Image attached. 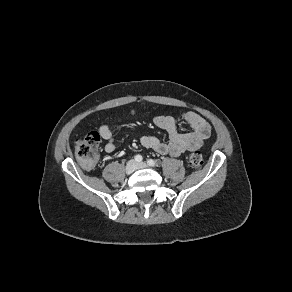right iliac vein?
Instances as JSON below:
<instances>
[{
  "instance_id": "right-iliac-vein-1",
  "label": "right iliac vein",
  "mask_w": 292,
  "mask_h": 292,
  "mask_svg": "<svg viewBox=\"0 0 292 292\" xmlns=\"http://www.w3.org/2000/svg\"><path fill=\"white\" fill-rule=\"evenodd\" d=\"M136 162L134 160H130L128 161V163L126 164V168H125V172L126 174H131L136 170Z\"/></svg>"
}]
</instances>
